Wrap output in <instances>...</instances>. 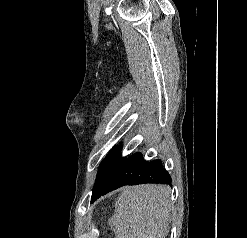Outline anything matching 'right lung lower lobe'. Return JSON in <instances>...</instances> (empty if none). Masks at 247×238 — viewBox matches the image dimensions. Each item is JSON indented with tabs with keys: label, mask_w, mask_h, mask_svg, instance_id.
I'll list each match as a JSON object with an SVG mask.
<instances>
[{
	"label": "right lung lower lobe",
	"mask_w": 247,
	"mask_h": 238,
	"mask_svg": "<svg viewBox=\"0 0 247 238\" xmlns=\"http://www.w3.org/2000/svg\"><path fill=\"white\" fill-rule=\"evenodd\" d=\"M141 183L171 184V178L159 159L147 162L143 159L141 153H136L127 159L123 158L121 160L107 186L96 198L92 199V202L101 195L121 186Z\"/></svg>",
	"instance_id": "98d812e1"
}]
</instances>
